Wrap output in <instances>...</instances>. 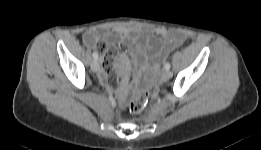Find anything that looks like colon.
<instances>
[{"mask_svg":"<svg viewBox=\"0 0 261 150\" xmlns=\"http://www.w3.org/2000/svg\"><path fill=\"white\" fill-rule=\"evenodd\" d=\"M149 98V90L143 87L137 90L130 102V111L133 114H140L145 109Z\"/></svg>","mask_w":261,"mask_h":150,"instance_id":"1","label":"colon"}]
</instances>
